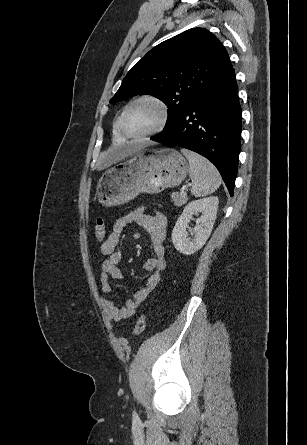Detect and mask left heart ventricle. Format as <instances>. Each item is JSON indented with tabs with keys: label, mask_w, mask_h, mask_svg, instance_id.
Here are the masks:
<instances>
[{
	"label": "left heart ventricle",
	"mask_w": 307,
	"mask_h": 445,
	"mask_svg": "<svg viewBox=\"0 0 307 445\" xmlns=\"http://www.w3.org/2000/svg\"><path fill=\"white\" fill-rule=\"evenodd\" d=\"M161 119L159 107L151 102L132 105L127 114V124L131 132L142 133L155 128Z\"/></svg>",
	"instance_id": "1"
}]
</instances>
